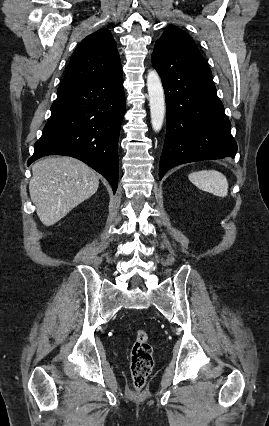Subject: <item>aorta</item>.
<instances>
[{
  "mask_svg": "<svg viewBox=\"0 0 269 426\" xmlns=\"http://www.w3.org/2000/svg\"><path fill=\"white\" fill-rule=\"evenodd\" d=\"M147 89L152 128L155 132H159L165 117V96L161 79L155 70L148 71Z\"/></svg>",
  "mask_w": 269,
  "mask_h": 426,
  "instance_id": "1",
  "label": "aorta"
}]
</instances>
